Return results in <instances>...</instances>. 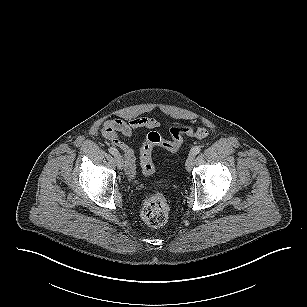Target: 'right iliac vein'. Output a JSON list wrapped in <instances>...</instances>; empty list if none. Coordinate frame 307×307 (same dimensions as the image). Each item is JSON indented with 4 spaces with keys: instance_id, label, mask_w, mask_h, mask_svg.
Instances as JSON below:
<instances>
[{
    "instance_id": "1",
    "label": "right iliac vein",
    "mask_w": 307,
    "mask_h": 307,
    "mask_svg": "<svg viewBox=\"0 0 307 307\" xmlns=\"http://www.w3.org/2000/svg\"><path fill=\"white\" fill-rule=\"evenodd\" d=\"M115 161H116L117 168L119 170H122L124 167V160L120 154L115 155Z\"/></svg>"
}]
</instances>
